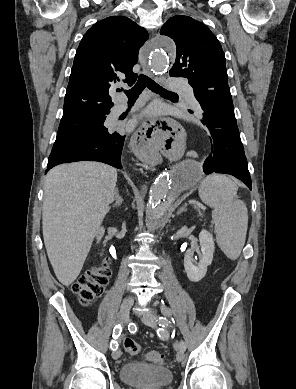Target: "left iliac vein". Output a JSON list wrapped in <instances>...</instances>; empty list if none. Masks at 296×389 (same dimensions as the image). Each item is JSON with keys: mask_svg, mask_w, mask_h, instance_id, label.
I'll list each match as a JSON object with an SVG mask.
<instances>
[{"mask_svg": "<svg viewBox=\"0 0 296 389\" xmlns=\"http://www.w3.org/2000/svg\"><path fill=\"white\" fill-rule=\"evenodd\" d=\"M142 321L151 327H156V315L154 313H146L142 317ZM184 350L181 347H178L176 359L178 362H182L184 360Z\"/></svg>", "mask_w": 296, "mask_h": 389, "instance_id": "1", "label": "left iliac vein"}]
</instances>
